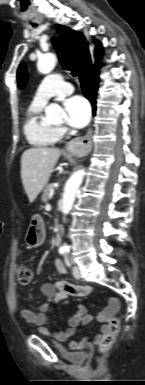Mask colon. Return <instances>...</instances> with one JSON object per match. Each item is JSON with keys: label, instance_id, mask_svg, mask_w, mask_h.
Here are the masks:
<instances>
[{"label": "colon", "instance_id": "1", "mask_svg": "<svg viewBox=\"0 0 145 385\" xmlns=\"http://www.w3.org/2000/svg\"><path fill=\"white\" fill-rule=\"evenodd\" d=\"M14 277L20 287H27L32 280L33 273L30 267L26 265H18L15 268ZM61 290L64 293L70 295H76L80 293V290L76 286L68 284L62 285ZM116 308L117 306L115 305L114 307H111L110 310L114 312ZM119 330L120 320L117 316H114L113 314L108 319L107 332L102 336L101 340L99 341V347L101 351H107L112 346L116 336L119 333Z\"/></svg>", "mask_w": 145, "mask_h": 385}]
</instances>
